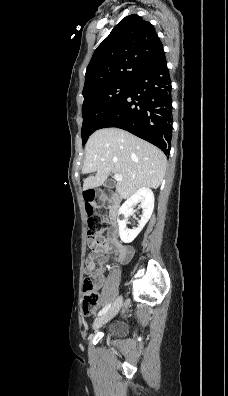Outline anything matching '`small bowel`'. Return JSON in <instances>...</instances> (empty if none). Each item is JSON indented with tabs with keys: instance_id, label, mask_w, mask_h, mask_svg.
I'll return each mask as SVG.
<instances>
[{
	"instance_id": "1",
	"label": "small bowel",
	"mask_w": 228,
	"mask_h": 396,
	"mask_svg": "<svg viewBox=\"0 0 228 396\" xmlns=\"http://www.w3.org/2000/svg\"><path fill=\"white\" fill-rule=\"evenodd\" d=\"M91 252L88 254L85 262V272L86 274L94 276L97 281V285L100 287L104 283L103 270L106 263V258L104 257L107 253L112 251H117L120 259H126L132 254V248L121 244L117 239V230L115 228L111 229L108 236L101 237L98 242L88 243ZM101 258L99 260V266L96 267L95 259Z\"/></svg>"
}]
</instances>
